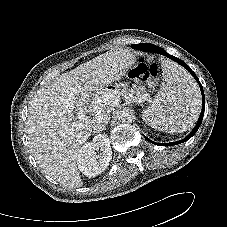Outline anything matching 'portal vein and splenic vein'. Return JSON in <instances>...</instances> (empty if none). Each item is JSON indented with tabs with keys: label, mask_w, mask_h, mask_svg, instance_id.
Listing matches in <instances>:
<instances>
[{
	"label": "portal vein and splenic vein",
	"mask_w": 227,
	"mask_h": 227,
	"mask_svg": "<svg viewBox=\"0 0 227 227\" xmlns=\"http://www.w3.org/2000/svg\"><path fill=\"white\" fill-rule=\"evenodd\" d=\"M130 96H131V95H130ZM146 98H147V96L142 97V98H140L139 100H141V99L146 100ZM139 102H140V101H139ZM67 104H68V106H70L69 103H67ZM77 115H78V119H79V120L76 121V122H73V123L71 124V127H72V128H76V129H78V128H80V127L83 126V122H84V120H85L87 114H86L85 111L80 110V111L78 112Z\"/></svg>",
	"instance_id": "18ae733b"
}]
</instances>
